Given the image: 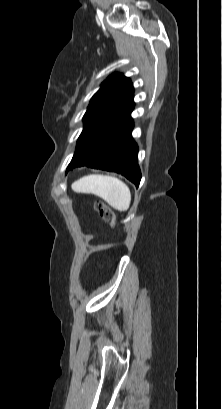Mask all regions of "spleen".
<instances>
[{
  "mask_svg": "<svg viewBox=\"0 0 222 409\" xmlns=\"http://www.w3.org/2000/svg\"><path fill=\"white\" fill-rule=\"evenodd\" d=\"M71 187L77 193L94 194L121 212L127 211L131 203L129 187L116 177L88 175L75 181Z\"/></svg>",
  "mask_w": 222,
  "mask_h": 409,
  "instance_id": "3e777b00",
  "label": "spleen"
}]
</instances>
